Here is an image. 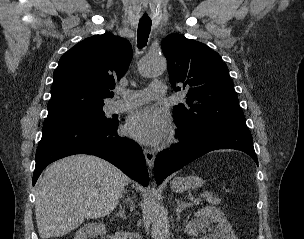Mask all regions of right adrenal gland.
<instances>
[{"mask_svg": "<svg viewBox=\"0 0 304 239\" xmlns=\"http://www.w3.org/2000/svg\"><path fill=\"white\" fill-rule=\"evenodd\" d=\"M127 202H129V204H130V210H132V202L129 199H127ZM116 216L122 218L123 220L126 219L125 211H124V209H122L121 206H120V210L116 214Z\"/></svg>", "mask_w": 304, "mask_h": 239, "instance_id": "1", "label": "right adrenal gland"}]
</instances>
